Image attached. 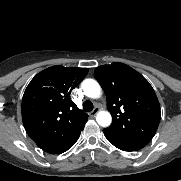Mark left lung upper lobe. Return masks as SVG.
Masks as SVG:
<instances>
[{"label": "left lung upper lobe", "instance_id": "obj_1", "mask_svg": "<svg viewBox=\"0 0 181 181\" xmlns=\"http://www.w3.org/2000/svg\"><path fill=\"white\" fill-rule=\"evenodd\" d=\"M94 77L107 97L113 122L106 136L148 144L158 128L160 104L150 83L130 66L114 62L98 66Z\"/></svg>", "mask_w": 181, "mask_h": 181}]
</instances>
